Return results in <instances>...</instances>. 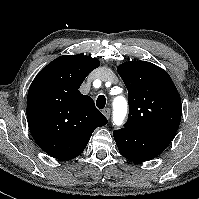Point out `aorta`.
Masks as SVG:
<instances>
[{"label": "aorta", "instance_id": "obj_1", "mask_svg": "<svg viewBox=\"0 0 199 199\" xmlns=\"http://www.w3.org/2000/svg\"><path fill=\"white\" fill-rule=\"evenodd\" d=\"M113 109H114L113 112L114 124L120 126L123 124V121L125 119L128 110L126 99L122 96L115 98L113 102Z\"/></svg>", "mask_w": 199, "mask_h": 199}]
</instances>
